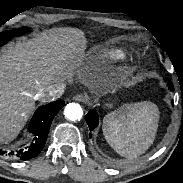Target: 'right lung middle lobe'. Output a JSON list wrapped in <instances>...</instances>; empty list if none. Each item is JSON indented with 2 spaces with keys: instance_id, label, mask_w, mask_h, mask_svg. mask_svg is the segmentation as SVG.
Returning <instances> with one entry per match:
<instances>
[{
  "instance_id": "1",
  "label": "right lung middle lobe",
  "mask_w": 183,
  "mask_h": 183,
  "mask_svg": "<svg viewBox=\"0 0 183 183\" xmlns=\"http://www.w3.org/2000/svg\"><path fill=\"white\" fill-rule=\"evenodd\" d=\"M25 33L24 30H10V31H4L0 33V46L7 43L11 38L16 36H21Z\"/></svg>"
}]
</instances>
